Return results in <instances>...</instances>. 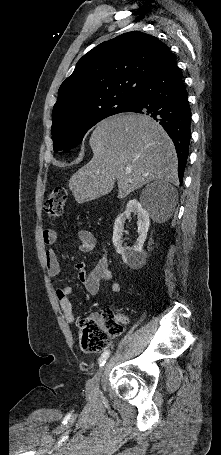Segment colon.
Masks as SVG:
<instances>
[{"mask_svg":"<svg viewBox=\"0 0 221 455\" xmlns=\"http://www.w3.org/2000/svg\"><path fill=\"white\" fill-rule=\"evenodd\" d=\"M67 199V190L64 187L54 188L47 196L43 209L46 216L55 220L64 210ZM126 318L112 310H106L101 317L89 316L80 320L81 348L86 352L103 351L110 338L119 336L123 332Z\"/></svg>","mask_w":221,"mask_h":455,"instance_id":"1","label":"colon"}]
</instances>
